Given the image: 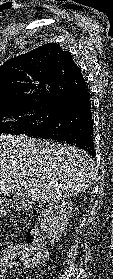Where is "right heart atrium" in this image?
<instances>
[{"label":"right heart atrium","mask_w":113,"mask_h":279,"mask_svg":"<svg viewBox=\"0 0 113 279\" xmlns=\"http://www.w3.org/2000/svg\"><path fill=\"white\" fill-rule=\"evenodd\" d=\"M15 122H16V117H15V116H13V115H8V116L5 117V123H6L7 125H12V124H14Z\"/></svg>","instance_id":"obj_1"}]
</instances>
